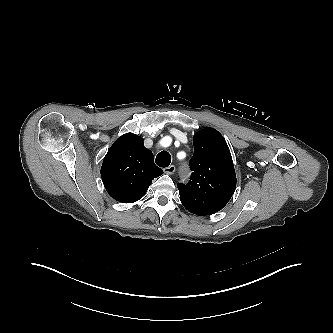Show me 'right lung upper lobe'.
Instances as JSON below:
<instances>
[{
	"label": "right lung upper lobe",
	"instance_id": "1",
	"mask_svg": "<svg viewBox=\"0 0 333 333\" xmlns=\"http://www.w3.org/2000/svg\"><path fill=\"white\" fill-rule=\"evenodd\" d=\"M163 174L154 156L144 147L143 138L133 133L119 137L108 150L101 177L109 195L122 203L141 199L152 180Z\"/></svg>",
	"mask_w": 333,
	"mask_h": 333
}]
</instances>
